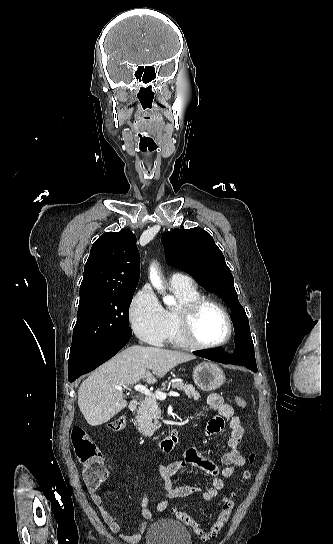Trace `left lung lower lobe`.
<instances>
[{"label":"left lung lower lobe","instance_id":"1","mask_svg":"<svg viewBox=\"0 0 333 544\" xmlns=\"http://www.w3.org/2000/svg\"><path fill=\"white\" fill-rule=\"evenodd\" d=\"M193 354L224 364L245 366L253 372H257L255 358L241 347L237 348L233 355L225 353L222 349L200 350L193 352Z\"/></svg>","mask_w":333,"mask_h":544}]
</instances>
